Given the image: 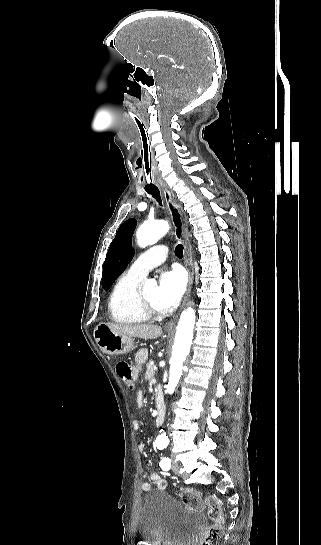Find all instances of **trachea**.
I'll use <instances>...</instances> for the list:
<instances>
[{
	"instance_id": "trachea-1",
	"label": "trachea",
	"mask_w": 321,
	"mask_h": 545,
	"mask_svg": "<svg viewBox=\"0 0 321 545\" xmlns=\"http://www.w3.org/2000/svg\"><path fill=\"white\" fill-rule=\"evenodd\" d=\"M131 119H133V121L135 122V125L137 126V129H138V132L141 134V142L143 144V154H142V157H143V162H144V168H143V173L146 175V178H145V190L147 193L151 194L155 199L156 201L159 203V205H162V199H161V196H160V192L158 190V188L156 187V181H157V178L155 175L151 174L152 173V168H153V162H154V159H153V154L151 152V149L149 148L150 147V144L148 143V139H149V136H148V132L146 131L145 129V126L142 124V122L140 120H137L136 119V114H131ZM175 255L178 257V258H182L183 256V245L179 244L176 246L175 248Z\"/></svg>"
}]
</instances>
